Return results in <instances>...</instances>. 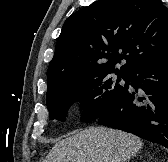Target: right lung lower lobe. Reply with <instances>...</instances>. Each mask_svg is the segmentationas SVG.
<instances>
[{
    "label": "right lung lower lobe",
    "instance_id": "98d812e1",
    "mask_svg": "<svg viewBox=\"0 0 168 162\" xmlns=\"http://www.w3.org/2000/svg\"><path fill=\"white\" fill-rule=\"evenodd\" d=\"M127 80L131 84L125 83L98 123L168 148V54L139 65Z\"/></svg>",
    "mask_w": 168,
    "mask_h": 162
}]
</instances>
